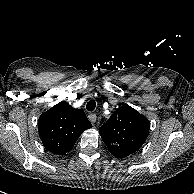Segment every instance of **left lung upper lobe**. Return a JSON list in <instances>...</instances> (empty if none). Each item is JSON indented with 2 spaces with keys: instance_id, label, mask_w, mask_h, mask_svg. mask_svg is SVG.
<instances>
[{
  "instance_id": "left-lung-upper-lobe-1",
  "label": "left lung upper lobe",
  "mask_w": 194,
  "mask_h": 194,
  "mask_svg": "<svg viewBox=\"0 0 194 194\" xmlns=\"http://www.w3.org/2000/svg\"><path fill=\"white\" fill-rule=\"evenodd\" d=\"M149 129L148 119L124 104L100 127L99 133L110 153L123 158L141 148L147 139Z\"/></svg>"
}]
</instances>
